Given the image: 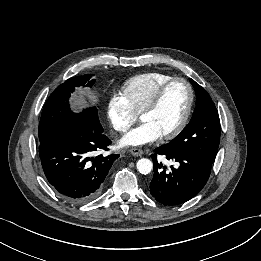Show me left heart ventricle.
<instances>
[{
	"mask_svg": "<svg viewBox=\"0 0 261 261\" xmlns=\"http://www.w3.org/2000/svg\"><path fill=\"white\" fill-rule=\"evenodd\" d=\"M188 103V90L182 83L172 85L160 107L143 117L161 136L173 130L181 121Z\"/></svg>",
	"mask_w": 261,
	"mask_h": 261,
	"instance_id": "obj_1",
	"label": "left heart ventricle"
}]
</instances>
